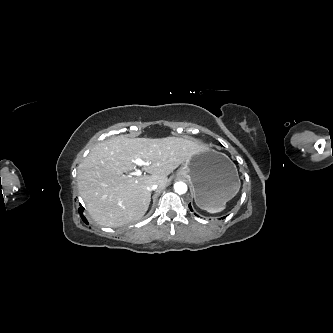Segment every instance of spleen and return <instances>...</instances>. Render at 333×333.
Here are the masks:
<instances>
[{"label": "spleen", "instance_id": "1", "mask_svg": "<svg viewBox=\"0 0 333 333\" xmlns=\"http://www.w3.org/2000/svg\"><path fill=\"white\" fill-rule=\"evenodd\" d=\"M239 182H240V180H239ZM239 188H240V184L238 186L237 192L239 191ZM224 208H225V205L222 207H218V208L207 207V208H205V210L208 211L209 213H218V212H221Z\"/></svg>", "mask_w": 333, "mask_h": 333}]
</instances>
